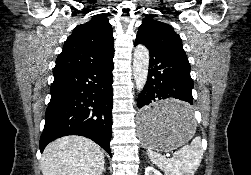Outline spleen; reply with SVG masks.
Segmentation results:
<instances>
[{"label":"spleen","mask_w":251,"mask_h":175,"mask_svg":"<svg viewBox=\"0 0 251 175\" xmlns=\"http://www.w3.org/2000/svg\"><path fill=\"white\" fill-rule=\"evenodd\" d=\"M192 117L191 109L183 107L180 117L183 129L187 127L190 131H195V121ZM148 155L153 163L163 169L165 175H194L203 157L201 137H194L190 145H184L178 149L174 157H170V159L163 157L160 153H155L151 147H148Z\"/></svg>","instance_id":"3e777b00"}]
</instances>
